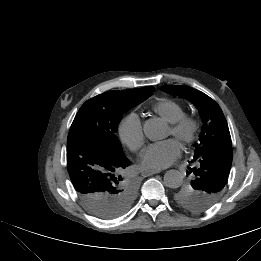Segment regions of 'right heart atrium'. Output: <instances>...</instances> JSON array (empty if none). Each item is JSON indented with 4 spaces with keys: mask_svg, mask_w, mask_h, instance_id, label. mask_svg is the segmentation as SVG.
<instances>
[{
    "mask_svg": "<svg viewBox=\"0 0 261 261\" xmlns=\"http://www.w3.org/2000/svg\"><path fill=\"white\" fill-rule=\"evenodd\" d=\"M119 137L121 141L133 152L141 149L145 136L142 121L138 114L131 112L119 124Z\"/></svg>",
    "mask_w": 261,
    "mask_h": 261,
    "instance_id": "d8ad5b80",
    "label": "right heart atrium"
}]
</instances>
